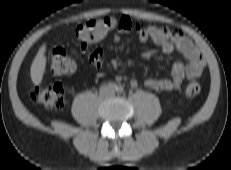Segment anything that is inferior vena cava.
Masks as SVG:
<instances>
[{
	"instance_id": "602c4592",
	"label": "inferior vena cava",
	"mask_w": 231,
	"mask_h": 170,
	"mask_svg": "<svg viewBox=\"0 0 231 170\" xmlns=\"http://www.w3.org/2000/svg\"><path fill=\"white\" fill-rule=\"evenodd\" d=\"M103 92H104V88L101 89V93H103Z\"/></svg>"
}]
</instances>
